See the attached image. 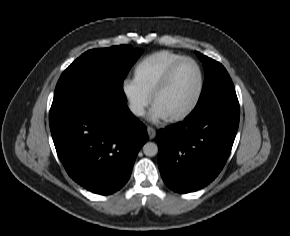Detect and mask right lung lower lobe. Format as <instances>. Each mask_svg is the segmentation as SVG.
<instances>
[{
    "instance_id": "obj_1",
    "label": "right lung lower lobe",
    "mask_w": 290,
    "mask_h": 236,
    "mask_svg": "<svg viewBox=\"0 0 290 236\" xmlns=\"http://www.w3.org/2000/svg\"><path fill=\"white\" fill-rule=\"evenodd\" d=\"M49 124L68 175L100 195L112 194L126 184L148 140L146 126L127 106L52 105Z\"/></svg>"
}]
</instances>
